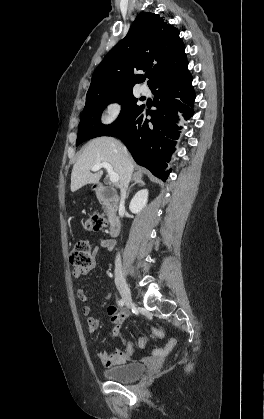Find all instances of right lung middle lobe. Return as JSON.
Here are the masks:
<instances>
[{"instance_id": "right-lung-middle-lobe-1", "label": "right lung middle lobe", "mask_w": 264, "mask_h": 419, "mask_svg": "<svg viewBox=\"0 0 264 419\" xmlns=\"http://www.w3.org/2000/svg\"><path fill=\"white\" fill-rule=\"evenodd\" d=\"M137 101L138 99L133 96L132 90L86 97V104L79 123L76 146L85 140L104 136L113 130L140 107L137 105ZM113 102L122 105L121 113L114 123L103 125L100 121L101 113L108 104Z\"/></svg>"}]
</instances>
